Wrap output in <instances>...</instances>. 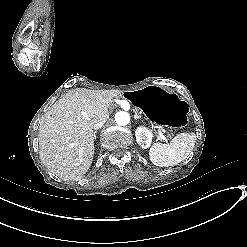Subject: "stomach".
I'll return each mask as SVG.
<instances>
[{"mask_svg":"<svg viewBox=\"0 0 247 247\" xmlns=\"http://www.w3.org/2000/svg\"><path fill=\"white\" fill-rule=\"evenodd\" d=\"M147 119L166 129L169 133L187 124L189 107L187 102L173 91L156 86H146L124 93Z\"/></svg>","mask_w":247,"mask_h":247,"instance_id":"0dacf381","label":"stomach"}]
</instances>
